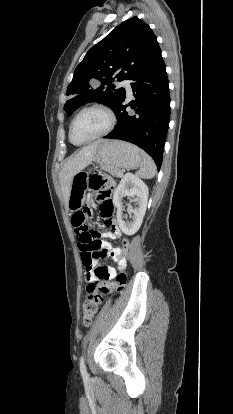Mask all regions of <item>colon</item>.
Returning <instances> with one entry per match:
<instances>
[{
    "mask_svg": "<svg viewBox=\"0 0 233 414\" xmlns=\"http://www.w3.org/2000/svg\"><path fill=\"white\" fill-rule=\"evenodd\" d=\"M89 187L98 193L101 201L100 210L103 218H107L113 213V204L110 200L111 193L114 189L115 182L108 174L97 171L89 176ZM88 210H79L73 215V224L78 232L79 246L81 250V258L86 270L93 267L94 262L104 256L102 242L98 237L97 231L88 227ZM127 239L122 242V247L114 252V256L121 262L127 261L128 256ZM98 281L88 284L86 287V299L83 305V322L86 326L90 325L98 311L99 305L103 301V295L110 291L111 288L121 290L127 281V266L123 267L116 277V281L108 285L105 283L107 269L100 266L96 269Z\"/></svg>",
    "mask_w": 233,
    "mask_h": 414,
    "instance_id": "1",
    "label": "colon"
}]
</instances>
